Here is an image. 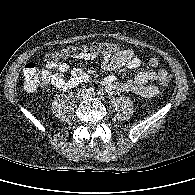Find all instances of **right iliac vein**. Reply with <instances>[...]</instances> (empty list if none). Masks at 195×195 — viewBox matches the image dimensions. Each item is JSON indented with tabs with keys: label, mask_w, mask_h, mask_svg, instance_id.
Listing matches in <instances>:
<instances>
[{
	"label": "right iliac vein",
	"mask_w": 195,
	"mask_h": 195,
	"mask_svg": "<svg viewBox=\"0 0 195 195\" xmlns=\"http://www.w3.org/2000/svg\"><path fill=\"white\" fill-rule=\"evenodd\" d=\"M87 93L86 92H84V91H82V92H79L78 94H77V99H79V100H81V99H85L86 97H87Z\"/></svg>",
	"instance_id": "1"
}]
</instances>
